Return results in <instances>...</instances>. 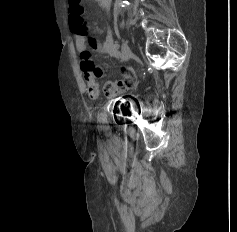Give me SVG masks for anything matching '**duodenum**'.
<instances>
[{"label":"duodenum","mask_w":237,"mask_h":232,"mask_svg":"<svg viewBox=\"0 0 237 232\" xmlns=\"http://www.w3.org/2000/svg\"><path fill=\"white\" fill-rule=\"evenodd\" d=\"M100 6H104L106 3V0H97Z\"/></svg>","instance_id":"1"}]
</instances>
